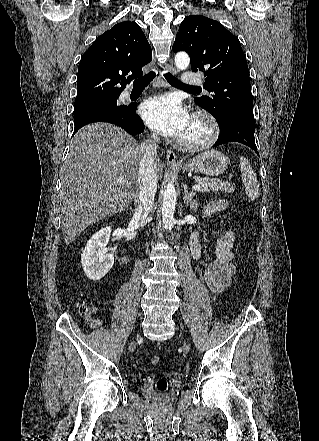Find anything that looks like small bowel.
I'll return each mask as SVG.
<instances>
[{
    "label": "small bowel",
    "mask_w": 319,
    "mask_h": 441,
    "mask_svg": "<svg viewBox=\"0 0 319 441\" xmlns=\"http://www.w3.org/2000/svg\"><path fill=\"white\" fill-rule=\"evenodd\" d=\"M226 202L217 200L210 202L204 209V215H210L225 209ZM235 241V234L230 231L225 233L216 245V260L208 261L201 256V244L199 241V232L195 230L190 237V251L192 257L199 261L205 268V282L207 287L214 293H221L227 288L235 273V267L232 264L234 253L232 251ZM102 320L95 322L96 327L102 326Z\"/></svg>",
    "instance_id": "small-bowel-1"
}]
</instances>
